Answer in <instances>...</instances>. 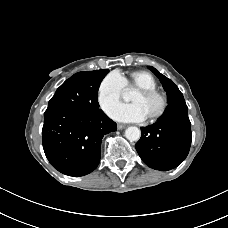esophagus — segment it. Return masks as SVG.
<instances>
[{
    "instance_id": "esophagus-1",
    "label": "esophagus",
    "mask_w": 228,
    "mask_h": 228,
    "mask_svg": "<svg viewBox=\"0 0 228 228\" xmlns=\"http://www.w3.org/2000/svg\"><path fill=\"white\" fill-rule=\"evenodd\" d=\"M126 127V125H124V124H117V129L118 130H122V129H124Z\"/></svg>"
}]
</instances>
